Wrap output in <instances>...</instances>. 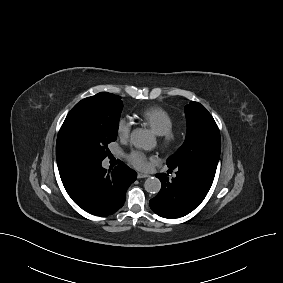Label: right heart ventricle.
I'll return each mask as SVG.
<instances>
[{
    "instance_id": "e07e8e85",
    "label": "right heart ventricle",
    "mask_w": 283,
    "mask_h": 283,
    "mask_svg": "<svg viewBox=\"0 0 283 283\" xmlns=\"http://www.w3.org/2000/svg\"><path fill=\"white\" fill-rule=\"evenodd\" d=\"M139 118L158 135L172 128L174 123L171 114L157 106L144 109L139 113Z\"/></svg>"
}]
</instances>
